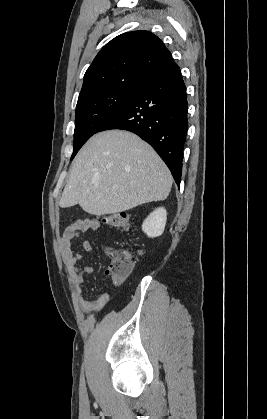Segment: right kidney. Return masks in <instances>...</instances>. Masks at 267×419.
Returning a JSON list of instances; mask_svg holds the SVG:
<instances>
[{
  "label": "right kidney",
  "mask_w": 267,
  "mask_h": 419,
  "mask_svg": "<svg viewBox=\"0 0 267 419\" xmlns=\"http://www.w3.org/2000/svg\"><path fill=\"white\" fill-rule=\"evenodd\" d=\"M166 220L167 212L165 208H157L144 220L142 230L148 237H158L164 232Z\"/></svg>",
  "instance_id": "right-kidney-1"
}]
</instances>
